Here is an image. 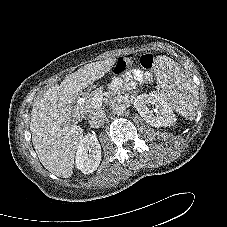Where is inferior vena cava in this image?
I'll return each instance as SVG.
<instances>
[{
    "mask_svg": "<svg viewBox=\"0 0 227 227\" xmlns=\"http://www.w3.org/2000/svg\"><path fill=\"white\" fill-rule=\"evenodd\" d=\"M106 119V114L102 110H97L89 116V124L93 128L101 127Z\"/></svg>",
    "mask_w": 227,
    "mask_h": 227,
    "instance_id": "obj_1",
    "label": "inferior vena cava"
}]
</instances>
